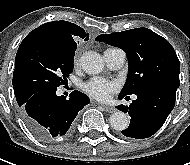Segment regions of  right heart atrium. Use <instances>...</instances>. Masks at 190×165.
<instances>
[{
  "label": "right heart atrium",
  "mask_w": 190,
  "mask_h": 165,
  "mask_svg": "<svg viewBox=\"0 0 190 165\" xmlns=\"http://www.w3.org/2000/svg\"><path fill=\"white\" fill-rule=\"evenodd\" d=\"M79 59H80L79 54H76V55L74 56V60H73V62H74L75 65L79 63Z\"/></svg>",
  "instance_id": "1"
}]
</instances>
